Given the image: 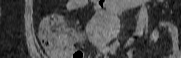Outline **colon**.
<instances>
[{"label":"colon","mask_w":181,"mask_h":58,"mask_svg":"<svg viewBox=\"0 0 181 58\" xmlns=\"http://www.w3.org/2000/svg\"><path fill=\"white\" fill-rule=\"evenodd\" d=\"M40 40L43 46L56 54L67 55L71 58H83V52L76 49L80 42L75 33L67 32L63 28V17L59 14H49L40 24Z\"/></svg>","instance_id":"1"}]
</instances>
